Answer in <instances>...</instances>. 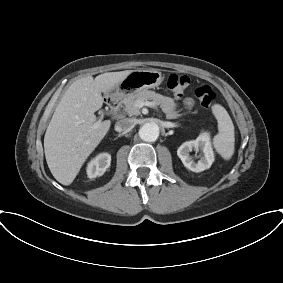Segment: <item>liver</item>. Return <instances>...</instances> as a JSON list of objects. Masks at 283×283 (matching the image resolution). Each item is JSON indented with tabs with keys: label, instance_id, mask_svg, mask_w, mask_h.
Instances as JSON below:
<instances>
[{
	"label": "liver",
	"instance_id": "obj_1",
	"mask_svg": "<svg viewBox=\"0 0 283 283\" xmlns=\"http://www.w3.org/2000/svg\"><path fill=\"white\" fill-rule=\"evenodd\" d=\"M133 70L88 75L73 82L57 105L44 136V152L54 178L70 185L108 132L111 121H96L101 93L114 89Z\"/></svg>",
	"mask_w": 283,
	"mask_h": 283
}]
</instances>
